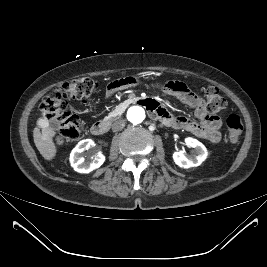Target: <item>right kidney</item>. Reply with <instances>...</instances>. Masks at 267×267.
Masks as SVG:
<instances>
[{
	"instance_id": "ca27d5eb",
	"label": "right kidney",
	"mask_w": 267,
	"mask_h": 267,
	"mask_svg": "<svg viewBox=\"0 0 267 267\" xmlns=\"http://www.w3.org/2000/svg\"><path fill=\"white\" fill-rule=\"evenodd\" d=\"M94 142L91 139L80 141L70 154V163L75 171L79 173H89L99 168L105 161V156L102 153L95 154L91 160L85 161L83 152L93 146Z\"/></svg>"
}]
</instances>
